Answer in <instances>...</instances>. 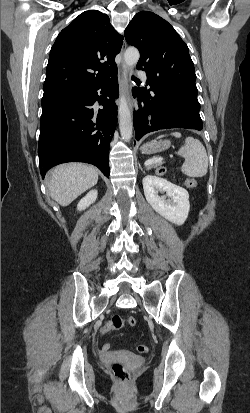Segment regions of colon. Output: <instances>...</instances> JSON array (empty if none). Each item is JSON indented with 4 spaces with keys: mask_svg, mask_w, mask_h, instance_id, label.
<instances>
[{
    "mask_svg": "<svg viewBox=\"0 0 250 413\" xmlns=\"http://www.w3.org/2000/svg\"><path fill=\"white\" fill-rule=\"evenodd\" d=\"M167 172V169L165 167H160L157 170L158 175H163ZM186 186L189 188H194L197 186V181L196 179L190 178L187 179L185 182ZM136 324V319L133 316H114L111 320H106L102 327L99 329V334L101 336H106L109 331L112 330H119L124 327H133ZM112 343L109 341H105L102 344L101 350L104 353H108L111 348H112ZM136 350L139 353H147L149 348L146 345H138L136 347ZM111 372L116 378L117 381L120 383H125L129 380L130 378V372L127 369V367L119 362H113L111 365Z\"/></svg>",
    "mask_w": 250,
    "mask_h": 413,
    "instance_id": "colon-1",
    "label": "colon"
}]
</instances>
